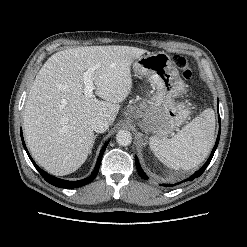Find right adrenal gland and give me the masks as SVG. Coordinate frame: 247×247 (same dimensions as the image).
<instances>
[{"label":"right adrenal gland","mask_w":247,"mask_h":247,"mask_svg":"<svg viewBox=\"0 0 247 247\" xmlns=\"http://www.w3.org/2000/svg\"><path fill=\"white\" fill-rule=\"evenodd\" d=\"M97 136H98V135H95V136H94V139H93V144H94V142H95V139H96V137H97Z\"/></svg>","instance_id":"2a0ac1e0"}]
</instances>
